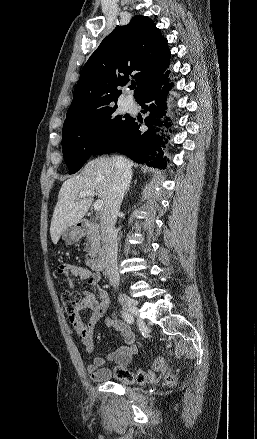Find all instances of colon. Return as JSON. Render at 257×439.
I'll return each mask as SVG.
<instances>
[{
  "instance_id": "5ec220e1",
  "label": "colon",
  "mask_w": 257,
  "mask_h": 439,
  "mask_svg": "<svg viewBox=\"0 0 257 439\" xmlns=\"http://www.w3.org/2000/svg\"><path fill=\"white\" fill-rule=\"evenodd\" d=\"M61 300L68 313H73L81 301V295L78 292L65 289L61 291ZM115 376L118 380L127 384L138 383L144 385L150 383L153 379V374L150 371H131L127 367L118 368ZM167 380L171 382L172 377L168 376Z\"/></svg>"
}]
</instances>
